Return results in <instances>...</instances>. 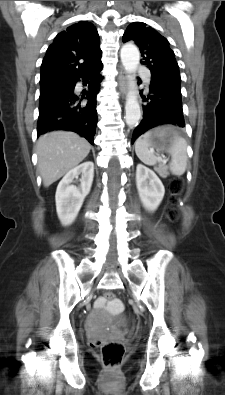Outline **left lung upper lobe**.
Segmentation results:
<instances>
[{
    "mask_svg": "<svg viewBox=\"0 0 225 395\" xmlns=\"http://www.w3.org/2000/svg\"><path fill=\"white\" fill-rule=\"evenodd\" d=\"M122 41L135 42L143 57L141 63L149 68L152 75L181 81L175 54L169 47L168 40L156 30L143 22H134L127 27Z\"/></svg>",
    "mask_w": 225,
    "mask_h": 395,
    "instance_id": "left-lung-upper-lobe-1",
    "label": "left lung upper lobe"
}]
</instances>
